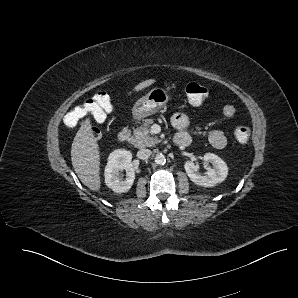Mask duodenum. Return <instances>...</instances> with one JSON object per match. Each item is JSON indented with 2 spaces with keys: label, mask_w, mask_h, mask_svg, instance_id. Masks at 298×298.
<instances>
[{
  "label": "duodenum",
  "mask_w": 298,
  "mask_h": 298,
  "mask_svg": "<svg viewBox=\"0 0 298 298\" xmlns=\"http://www.w3.org/2000/svg\"><path fill=\"white\" fill-rule=\"evenodd\" d=\"M130 139L131 132L128 128H124L118 133V140L120 142L127 143ZM173 142L178 147H187L191 143V137L184 132H179L174 136Z\"/></svg>",
  "instance_id": "obj_1"
}]
</instances>
